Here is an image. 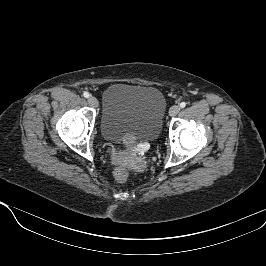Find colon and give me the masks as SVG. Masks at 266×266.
<instances>
[{
  "instance_id": "colon-1",
  "label": "colon",
  "mask_w": 266,
  "mask_h": 266,
  "mask_svg": "<svg viewBox=\"0 0 266 266\" xmlns=\"http://www.w3.org/2000/svg\"><path fill=\"white\" fill-rule=\"evenodd\" d=\"M114 177L119 183H125L129 177V170L124 166H119L114 171Z\"/></svg>"
}]
</instances>
